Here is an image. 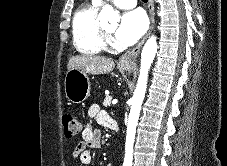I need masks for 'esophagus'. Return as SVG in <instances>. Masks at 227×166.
Wrapping results in <instances>:
<instances>
[{
    "mask_svg": "<svg viewBox=\"0 0 227 166\" xmlns=\"http://www.w3.org/2000/svg\"><path fill=\"white\" fill-rule=\"evenodd\" d=\"M148 10H149V17H150V26L142 40L138 43L137 46H135L131 51L125 53L119 60V63L121 65H129L135 62L137 56L140 53V50L146 41V39L149 37L151 34L153 28H154V23H155V18H154V0H148Z\"/></svg>",
    "mask_w": 227,
    "mask_h": 166,
    "instance_id": "esophagus-1",
    "label": "esophagus"
}]
</instances>
